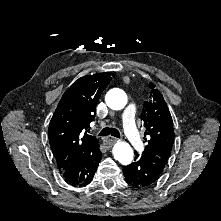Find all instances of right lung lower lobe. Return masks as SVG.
Returning <instances> with one entry per match:
<instances>
[{"mask_svg":"<svg viewBox=\"0 0 221 221\" xmlns=\"http://www.w3.org/2000/svg\"><path fill=\"white\" fill-rule=\"evenodd\" d=\"M101 158L102 154L98 143H96L77 157L65 169L61 170L60 173L69 184L75 187L86 186L92 181Z\"/></svg>","mask_w":221,"mask_h":221,"instance_id":"obj_1","label":"right lung lower lobe"}]
</instances>
